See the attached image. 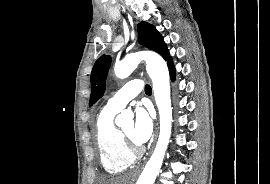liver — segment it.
<instances>
[{
    "mask_svg": "<svg viewBox=\"0 0 270 184\" xmlns=\"http://www.w3.org/2000/svg\"><path fill=\"white\" fill-rule=\"evenodd\" d=\"M131 179V175L118 177V178H111L104 182V184H128Z\"/></svg>",
    "mask_w": 270,
    "mask_h": 184,
    "instance_id": "liver-1",
    "label": "liver"
}]
</instances>
